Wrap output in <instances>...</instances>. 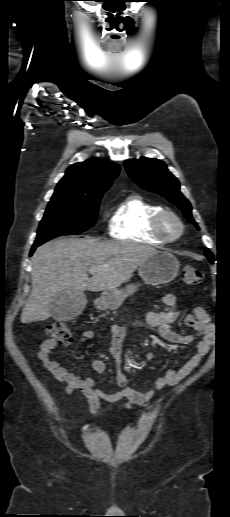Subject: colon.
Returning a JSON list of instances; mask_svg holds the SVG:
<instances>
[{
	"instance_id": "colon-1",
	"label": "colon",
	"mask_w": 230,
	"mask_h": 517,
	"mask_svg": "<svg viewBox=\"0 0 230 517\" xmlns=\"http://www.w3.org/2000/svg\"><path fill=\"white\" fill-rule=\"evenodd\" d=\"M182 280L188 285L200 284L204 278L203 272L193 266H186L182 269ZM47 334L52 338L68 343L72 341V333L70 329L61 322H54L47 327Z\"/></svg>"
}]
</instances>
